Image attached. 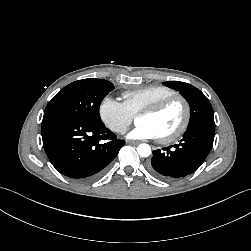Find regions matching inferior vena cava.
<instances>
[{
    "instance_id": "1",
    "label": "inferior vena cava",
    "mask_w": 251,
    "mask_h": 251,
    "mask_svg": "<svg viewBox=\"0 0 251 251\" xmlns=\"http://www.w3.org/2000/svg\"><path fill=\"white\" fill-rule=\"evenodd\" d=\"M121 132H122V133H125V132H126V128H122V129H121Z\"/></svg>"
}]
</instances>
